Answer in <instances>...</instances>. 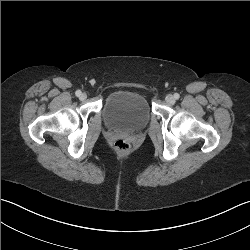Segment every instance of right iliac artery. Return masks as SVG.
Here are the masks:
<instances>
[{
	"label": "right iliac artery",
	"mask_w": 250,
	"mask_h": 250,
	"mask_svg": "<svg viewBox=\"0 0 250 250\" xmlns=\"http://www.w3.org/2000/svg\"><path fill=\"white\" fill-rule=\"evenodd\" d=\"M75 94H76L77 97H79V96L81 95V91H80V90H77V91L75 92Z\"/></svg>",
	"instance_id": "right-iliac-artery-1"
}]
</instances>
